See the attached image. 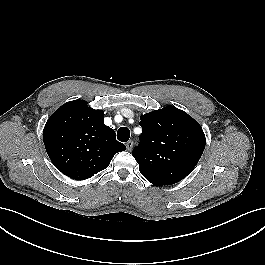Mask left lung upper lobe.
I'll list each match as a JSON object with an SVG mask.
<instances>
[{
	"label": "left lung upper lobe",
	"mask_w": 265,
	"mask_h": 265,
	"mask_svg": "<svg viewBox=\"0 0 265 265\" xmlns=\"http://www.w3.org/2000/svg\"><path fill=\"white\" fill-rule=\"evenodd\" d=\"M140 119L141 144L132 152L140 173L157 186L181 181L204 151L206 140L201 126L174 106L141 115Z\"/></svg>",
	"instance_id": "obj_1"
}]
</instances>
